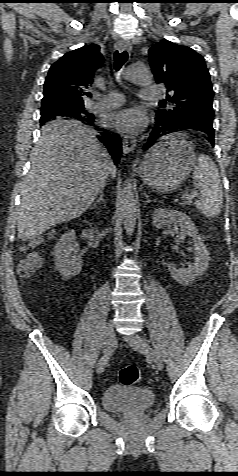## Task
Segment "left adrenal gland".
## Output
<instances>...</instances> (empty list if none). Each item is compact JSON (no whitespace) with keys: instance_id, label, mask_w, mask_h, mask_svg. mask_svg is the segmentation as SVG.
Instances as JSON below:
<instances>
[{"instance_id":"left-adrenal-gland-1","label":"left adrenal gland","mask_w":238,"mask_h":476,"mask_svg":"<svg viewBox=\"0 0 238 476\" xmlns=\"http://www.w3.org/2000/svg\"><path fill=\"white\" fill-rule=\"evenodd\" d=\"M145 198H146V201H145L144 205H147L150 202H155L156 201V200L150 199L149 195L147 193H145Z\"/></svg>"}]
</instances>
